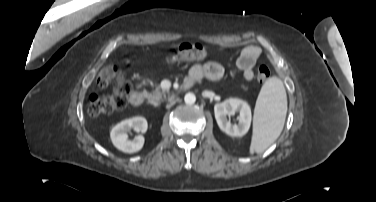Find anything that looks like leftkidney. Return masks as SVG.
<instances>
[{
    "mask_svg": "<svg viewBox=\"0 0 376 202\" xmlns=\"http://www.w3.org/2000/svg\"><path fill=\"white\" fill-rule=\"evenodd\" d=\"M238 112L239 118L237 124H231L227 119L228 115ZM214 114L219 128L227 135L232 137L244 136L251 125V108L247 102L238 98H229L214 106Z\"/></svg>",
    "mask_w": 376,
    "mask_h": 202,
    "instance_id": "obj_1",
    "label": "left kidney"
}]
</instances>
